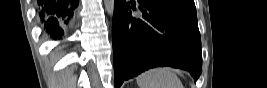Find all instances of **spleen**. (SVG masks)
I'll use <instances>...</instances> for the list:
<instances>
[{
	"label": "spleen",
	"mask_w": 267,
	"mask_h": 88,
	"mask_svg": "<svg viewBox=\"0 0 267 88\" xmlns=\"http://www.w3.org/2000/svg\"><path fill=\"white\" fill-rule=\"evenodd\" d=\"M139 88H184L179 77L169 67L145 71L136 78Z\"/></svg>",
	"instance_id": "1"
}]
</instances>
